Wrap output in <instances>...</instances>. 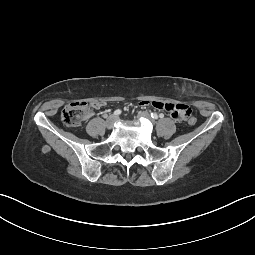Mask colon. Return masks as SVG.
I'll use <instances>...</instances> for the list:
<instances>
[{
    "instance_id": "colon-1",
    "label": "colon",
    "mask_w": 255,
    "mask_h": 255,
    "mask_svg": "<svg viewBox=\"0 0 255 255\" xmlns=\"http://www.w3.org/2000/svg\"><path fill=\"white\" fill-rule=\"evenodd\" d=\"M91 108L92 106L87 102H71L67 104L61 112L62 122L68 127H77L89 115ZM183 120H187L190 125H194L197 121L193 116Z\"/></svg>"
}]
</instances>
